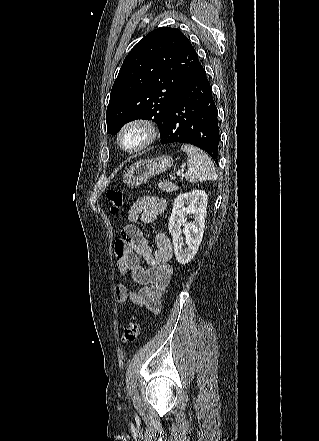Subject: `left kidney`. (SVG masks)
<instances>
[{
	"instance_id": "left-kidney-1",
	"label": "left kidney",
	"mask_w": 319,
	"mask_h": 441,
	"mask_svg": "<svg viewBox=\"0 0 319 441\" xmlns=\"http://www.w3.org/2000/svg\"><path fill=\"white\" fill-rule=\"evenodd\" d=\"M207 198L204 191L195 190L175 199L168 226L173 237L174 254L180 264L189 263L198 251L204 233ZM188 214L193 216L189 223ZM182 233L186 236L187 248H183Z\"/></svg>"
}]
</instances>
